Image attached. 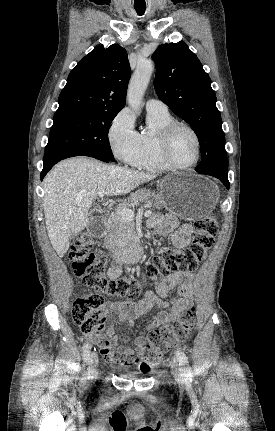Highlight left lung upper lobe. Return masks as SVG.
Here are the masks:
<instances>
[{"label": "left lung upper lobe", "mask_w": 275, "mask_h": 431, "mask_svg": "<svg viewBox=\"0 0 275 431\" xmlns=\"http://www.w3.org/2000/svg\"><path fill=\"white\" fill-rule=\"evenodd\" d=\"M152 57L158 97L199 139L202 161L195 170L228 173L222 119L211 79L201 62L183 41L160 45Z\"/></svg>", "instance_id": "left-lung-upper-lobe-1"}]
</instances>
